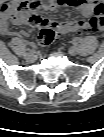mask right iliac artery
<instances>
[{
  "label": "right iliac artery",
  "instance_id": "82829eb1",
  "mask_svg": "<svg viewBox=\"0 0 104 137\" xmlns=\"http://www.w3.org/2000/svg\"><path fill=\"white\" fill-rule=\"evenodd\" d=\"M26 51H28V52H34V49L26 48Z\"/></svg>",
  "mask_w": 104,
  "mask_h": 137
}]
</instances>
